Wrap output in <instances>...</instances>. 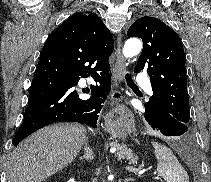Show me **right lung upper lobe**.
<instances>
[{"label": "right lung upper lobe", "mask_w": 211, "mask_h": 182, "mask_svg": "<svg viewBox=\"0 0 211 182\" xmlns=\"http://www.w3.org/2000/svg\"><path fill=\"white\" fill-rule=\"evenodd\" d=\"M63 25H67L71 35L85 50H94L103 61H108L114 50V40L97 14L77 12L60 26Z\"/></svg>", "instance_id": "1"}]
</instances>
